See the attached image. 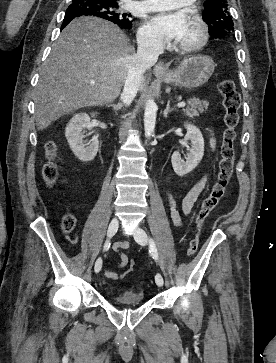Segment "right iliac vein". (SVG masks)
Segmentation results:
<instances>
[{"instance_id": "1", "label": "right iliac vein", "mask_w": 276, "mask_h": 363, "mask_svg": "<svg viewBox=\"0 0 276 363\" xmlns=\"http://www.w3.org/2000/svg\"><path fill=\"white\" fill-rule=\"evenodd\" d=\"M118 225H119V222H118V219L116 217H114L110 224H109V227H108V231H107V236L108 238H111L115 235V233L117 232L118 230ZM102 262V259L101 258H98L95 262V266L97 265H100ZM96 272V271H95ZM97 273V272H96Z\"/></svg>"}]
</instances>
